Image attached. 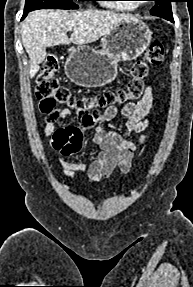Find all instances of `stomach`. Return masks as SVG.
I'll return each mask as SVG.
<instances>
[{"label":"stomach","instance_id":"1","mask_svg":"<svg viewBox=\"0 0 193 287\" xmlns=\"http://www.w3.org/2000/svg\"><path fill=\"white\" fill-rule=\"evenodd\" d=\"M151 39L152 33L144 22L128 20L103 36L100 51L86 45L69 49L65 73L71 82L81 87L107 85L116 77L118 62L139 57Z\"/></svg>","mask_w":193,"mask_h":287}]
</instances>
